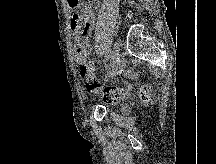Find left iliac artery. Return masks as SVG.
Wrapping results in <instances>:
<instances>
[{
  "mask_svg": "<svg viewBox=\"0 0 216 164\" xmlns=\"http://www.w3.org/2000/svg\"><path fill=\"white\" fill-rule=\"evenodd\" d=\"M109 58V56L107 57ZM117 62L113 59H110L109 62H107V68L110 70L112 68V64L115 65Z\"/></svg>",
  "mask_w": 216,
  "mask_h": 164,
  "instance_id": "obj_1",
  "label": "left iliac artery"
}]
</instances>
